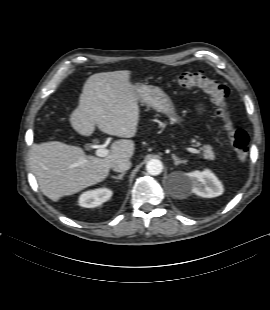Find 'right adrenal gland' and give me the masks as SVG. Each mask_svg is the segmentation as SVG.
<instances>
[{"label": "right adrenal gland", "instance_id": "right-adrenal-gland-1", "mask_svg": "<svg viewBox=\"0 0 270 310\" xmlns=\"http://www.w3.org/2000/svg\"><path fill=\"white\" fill-rule=\"evenodd\" d=\"M125 175V173H121L119 174L118 176H111L113 179H116V180H122L123 176Z\"/></svg>", "mask_w": 270, "mask_h": 310}]
</instances>
